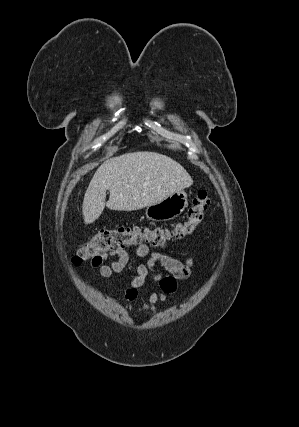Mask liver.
I'll return each mask as SVG.
<instances>
[{
    "label": "liver",
    "instance_id": "obj_1",
    "mask_svg": "<svg viewBox=\"0 0 299 427\" xmlns=\"http://www.w3.org/2000/svg\"><path fill=\"white\" fill-rule=\"evenodd\" d=\"M193 180L175 160L156 152H133L105 161L95 172L84 195L85 224L93 223L105 206L134 211L155 204L190 187ZM109 200L105 202L106 191Z\"/></svg>",
    "mask_w": 299,
    "mask_h": 427
}]
</instances>
